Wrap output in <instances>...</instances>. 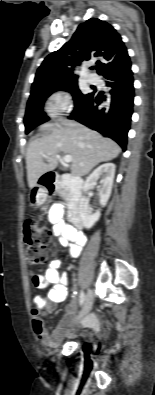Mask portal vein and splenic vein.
Listing matches in <instances>:
<instances>
[{
	"instance_id": "1",
	"label": "portal vein and splenic vein",
	"mask_w": 155,
	"mask_h": 395,
	"mask_svg": "<svg viewBox=\"0 0 155 395\" xmlns=\"http://www.w3.org/2000/svg\"><path fill=\"white\" fill-rule=\"evenodd\" d=\"M45 158H48V156H45ZM63 161L65 163H70L72 161V156L71 155H65L62 157Z\"/></svg>"
}]
</instances>
